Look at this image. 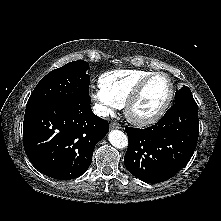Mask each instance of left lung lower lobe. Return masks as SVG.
I'll use <instances>...</instances> for the list:
<instances>
[{"mask_svg": "<svg viewBox=\"0 0 221 221\" xmlns=\"http://www.w3.org/2000/svg\"><path fill=\"white\" fill-rule=\"evenodd\" d=\"M129 146L124 156L127 170L141 181L156 183L172 177L191 159L199 125L195 100L176 102L156 125L126 127Z\"/></svg>", "mask_w": 221, "mask_h": 221, "instance_id": "left-lung-lower-lobe-1", "label": "left lung lower lobe"}]
</instances>
